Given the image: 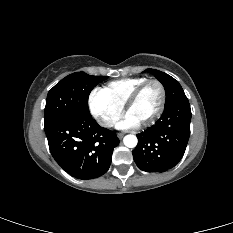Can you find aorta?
<instances>
[{"label": "aorta", "mask_w": 233, "mask_h": 233, "mask_svg": "<svg viewBox=\"0 0 233 233\" xmlns=\"http://www.w3.org/2000/svg\"><path fill=\"white\" fill-rule=\"evenodd\" d=\"M137 137L134 136V135H126L124 138H123V143L126 147H129V148H134L136 147L137 145Z\"/></svg>", "instance_id": "aorta-1"}]
</instances>
